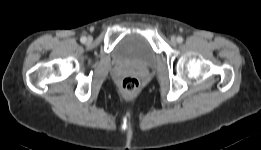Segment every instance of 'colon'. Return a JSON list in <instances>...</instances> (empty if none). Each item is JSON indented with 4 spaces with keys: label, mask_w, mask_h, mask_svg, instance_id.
I'll return each instance as SVG.
<instances>
[{
    "label": "colon",
    "mask_w": 261,
    "mask_h": 150,
    "mask_svg": "<svg viewBox=\"0 0 261 150\" xmlns=\"http://www.w3.org/2000/svg\"><path fill=\"white\" fill-rule=\"evenodd\" d=\"M140 81L134 76H126L122 79L120 90L124 97H135L140 91Z\"/></svg>",
    "instance_id": "colon-1"
}]
</instances>
